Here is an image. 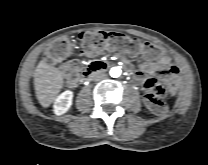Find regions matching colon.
<instances>
[{"label":"colon","instance_id":"obj_1","mask_svg":"<svg viewBox=\"0 0 208 165\" xmlns=\"http://www.w3.org/2000/svg\"><path fill=\"white\" fill-rule=\"evenodd\" d=\"M81 50L85 54H93L110 47L120 54L137 55L139 53H148L153 56H160L164 49L158 45L148 42H142L137 38L117 32L89 31L80 35ZM71 53L70 44L66 39L55 40L44 54L45 60L50 64H56L64 61ZM175 90V86L168 85L166 88L158 86L155 95L148 98L151 109L163 114L166 110V104L163 97Z\"/></svg>","mask_w":208,"mask_h":165}]
</instances>
